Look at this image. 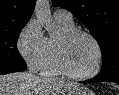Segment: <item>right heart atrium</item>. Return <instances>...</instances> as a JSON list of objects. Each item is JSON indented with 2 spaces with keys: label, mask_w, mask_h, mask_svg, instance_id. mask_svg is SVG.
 Instances as JSON below:
<instances>
[{
  "label": "right heart atrium",
  "mask_w": 119,
  "mask_h": 95,
  "mask_svg": "<svg viewBox=\"0 0 119 95\" xmlns=\"http://www.w3.org/2000/svg\"><path fill=\"white\" fill-rule=\"evenodd\" d=\"M47 42L36 19H30L17 39V49L29 69L38 71L43 67L47 55Z\"/></svg>",
  "instance_id": "d8ad5b80"
}]
</instances>
